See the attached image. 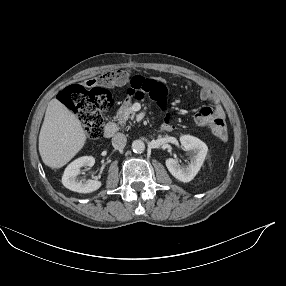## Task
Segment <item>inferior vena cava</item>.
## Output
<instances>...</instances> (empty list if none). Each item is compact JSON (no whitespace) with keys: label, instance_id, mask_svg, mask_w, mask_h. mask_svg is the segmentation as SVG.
<instances>
[{"label":"inferior vena cava","instance_id":"1","mask_svg":"<svg viewBox=\"0 0 286 286\" xmlns=\"http://www.w3.org/2000/svg\"><path fill=\"white\" fill-rule=\"evenodd\" d=\"M127 138L123 133H117L112 138V145L116 149H122L125 147Z\"/></svg>","mask_w":286,"mask_h":286}]
</instances>
